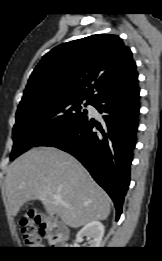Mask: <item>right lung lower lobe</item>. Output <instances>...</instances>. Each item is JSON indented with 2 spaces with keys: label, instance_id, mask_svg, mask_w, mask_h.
Instances as JSON below:
<instances>
[{
  "label": "right lung lower lobe",
  "instance_id": "98d812e1",
  "mask_svg": "<svg viewBox=\"0 0 162 261\" xmlns=\"http://www.w3.org/2000/svg\"><path fill=\"white\" fill-rule=\"evenodd\" d=\"M138 85L103 95L93 101L103 113L97 121L87 115L44 137L34 146H52L76 157L110 195L116 220L122 213L130 184V165L139 117Z\"/></svg>",
  "mask_w": 162,
  "mask_h": 261
}]
</instances>
